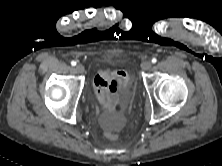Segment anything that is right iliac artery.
<instances>
[{"label": "right iliac artery", "mask_w": 222, "mask_h": 166, "mask_svg": "<svg viewBox=\"0 0 222 166\" xmlns=\"http://www.w3.org/2000/svg\"><path fill=\"white\" fill-rule=\"evenodd\" d=\"M71 65H72V66H75V65H76V62H75V61H72V62H71Z\"/></svg>", "instance_id": "right-iliac-artery-1"}]
</instances>
